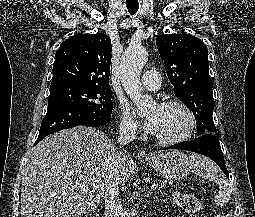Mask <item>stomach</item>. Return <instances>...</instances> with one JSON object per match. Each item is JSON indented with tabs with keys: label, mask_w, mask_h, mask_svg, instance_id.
Here are the masks:
<instances>
[{
	"label": "stomach",
	"mask_w": 255,
	"mask_h": 217,
	"mask_svg": "<svg viewBox=\"0 0 255 217\" xmlns=\"http://www.w3.org/2000/svg\"><path fill=\"white\" fill-rule=\"evenodd\" d=\"M141 161L170 180L185 178L192 168L190 159L180 151L159 153L148 159H141Z\"/></svg>",
	"instance_id": "stomach-1"
}]
</instances>
